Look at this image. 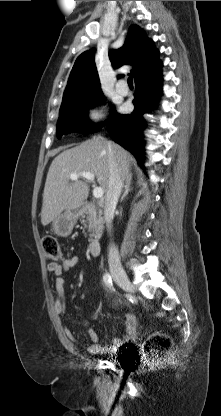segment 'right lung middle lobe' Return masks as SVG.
Instances as JSON below:
<instances>
[{"label": "right lung middle lobe", "mask_w": 221, "mask_h": 416, "mask_svg": "<svg viewBox=\"0 0 221 416\" xmlns=\"http://www.w3.org/2000/svg\"><path fill=\"white\" fill-rule=\"evenodd\" d=\"M105 97L102 93L78 99L75 101L63 102L57 122V135L61 138L63 134L70 132L93 133L104 124H92L87 119V111L92 106L102 103Z\"/></svg>", "instance_id": "right-lung-middle-lobe-1"}]
</instances>
